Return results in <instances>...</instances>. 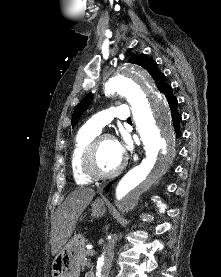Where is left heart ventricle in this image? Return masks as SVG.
Here are the masks:
<instances>
[{
	"label": "left heart ventricle",
	"mask_w": 221,
	"mask_h": 277,
	"mask_svg": "<svg viewBox=\"0 0 221 277\" xmlns=\"http://www.w3.org/2000/svg\"><path fill=\"white\" fill-rule=\"evenodd\" d=\"M122 158L117 143L112 140H105L97 150L94 167L100 173H108L118 167Z\"/></svg>",
	"instance_id": "left-heart-ventricle-1"
}]
</instances>
